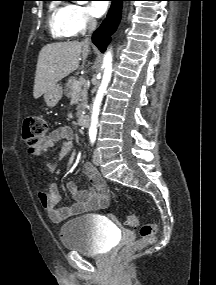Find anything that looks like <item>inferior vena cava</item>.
<instances>
[{
    "instance_id": "1",
    "label": "inferior vena cava",
    "mask_w": 216,
    "mask_h": 285,
    "mask_svg": "<svg viewBox=\"0 0 216 285\" xmlns=\"http://www.w3.org/2000/svg\"><path fill=\"white\" fill-rule=\"evenodd\" d=\"M96 25H97L96 19L89 17V19H88V31H89V33H92V31H94V29L96 28ZM84 42L89 43V38H86L84 40Z\"/></svg>"
}]
</instances>
